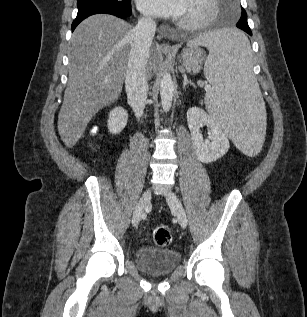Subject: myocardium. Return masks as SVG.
Returning a JSON list of instances; mask_svg holds the SVG:
<instances>
[{
  "label": "myocardium",
  "instance_id": "1",
  "mask_svg": "<svg viewBox=\"0 0 307 317\" xmlns=\"http://www.w3.org/2000/svg\"><path fill=\"white\" fill-rule=\"evenodd\" d=\"M206 8L208 9L207 13L196 20H179L178 25L188 31H197L203 29L210 25L216 18L219 5L217 0H200Z\"/></svg>",
  "mask_w": 307,
  "mask_h": 317
}]
</instances>
